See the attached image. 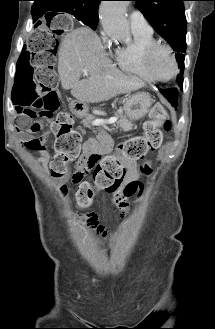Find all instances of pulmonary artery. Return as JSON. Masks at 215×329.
Returning a JSON list of instances; mask_svg holds the SVG:
<instances>
[{"mask_svg":"<svg viewBox=\"0 0 215 329\" xmlns=\"http://www.w3.org/2000/svg\"><path fill=\"white\" fill-rule=\"evenodd\" d=\"M132 32L152 33L153 29L139 10H133L129 16Z\"/></svg>","mask_w":215,"mask_h":329,"instance_id":"e3ab8cb5","label":"pulmonary artery"}]
</instances>
